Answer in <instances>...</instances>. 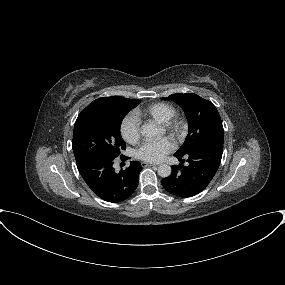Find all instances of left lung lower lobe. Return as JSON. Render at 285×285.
I'll return each instance as SVG.
<instances>
[{"instance_id":"left-lung-lower-lobe-1","label":"left lung lower lobe","mask_w":285,"mask_h":285,"mask_svg":"<svg viewBox=\"0 0 285 285\" xmlns=\"http://www.w3.org/2000/svg\"><path fill=\"white\" fill-rule=\"evenodd\" d=\"M223 153V139H214L195 147L185 155L174 154L183 163L172 166V173L161 181L171 194L188 198L202 192L217 172Z\"/></svg>"}]
</instances>
